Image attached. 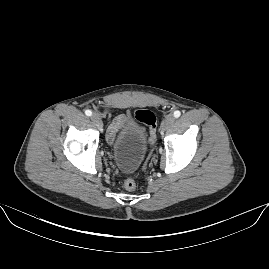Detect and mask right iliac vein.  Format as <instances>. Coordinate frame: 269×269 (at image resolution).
I'll return each instance as SVG.
<instances>
[{
	"mask_svg": "<svg viewBox=\"0 0 269 269\" xmlns=\"http://www.w3.org/2000/svg\"><path fill=\"white\" fill-rule=\"evenodd\" d=\"M91 120H92V123L96 125L98 128L102 127V120L99 114L97 113L92 114Z\"/></svg>",
	"mask_w": 269,
	"mask_h": 269,
	"instance_id": "right-iliac-vein-1",
	"label": "right iliac vein"
}]
</instances>
